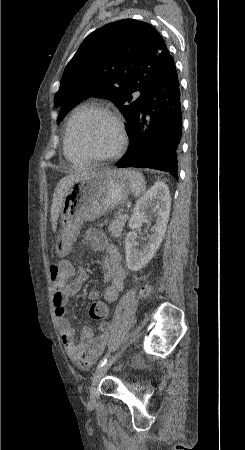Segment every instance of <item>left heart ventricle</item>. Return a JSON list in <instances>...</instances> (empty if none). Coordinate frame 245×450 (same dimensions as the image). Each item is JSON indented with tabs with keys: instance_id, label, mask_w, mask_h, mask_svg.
Segmentation results:
<instances>
[{
	"instance_id": "1",
	"label": "left heart ventricle",
	"mask_w": 245,
	"mask_h": 450,
	"mask_svg": "<svg viewBox=\"0 0 245 450\" xmlns=\"http://www.w3.org/2000/svg\"><path fill=\"white\" fill-rule=\"evenodd\" d=\"M78 143L90 154L103 156L113 152L119 144V133L109 120L98 118L90 122L75 123Z\"/></svg>"
}]
</instances>
